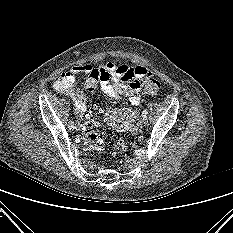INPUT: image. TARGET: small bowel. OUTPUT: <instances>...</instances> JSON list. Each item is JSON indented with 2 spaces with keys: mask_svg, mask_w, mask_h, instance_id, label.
<instances>
[{
  "mask_svg": "<svg viewBox=\"0 0 233 233\" xmlns=\"http://www.w3.org/2000/svg\"><path fill=\"white\" fill-rule=\"evenodd\" d=\"M93 69L89 64L72 67L62 74L68 86L64 89H57L73 100L79 119L85 116L87 95L83 91L75 88L76 77L79 74L89 75ZM99 69L105 71L109 76L108 80L100 84L103 92L113 99H120L124 95L129 98L133 105L140 103L139 91L143 80L152 75L143 66L116 65L111 61L105 62Z\"/></svg>",
  "mask_w": 233,
  "mask_h": 233,
  "instance_id": "obj_1",
  "label": "small bowel"
}]
</instances>
